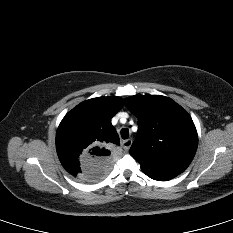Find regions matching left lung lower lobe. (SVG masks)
Here are the masks:
<instances>
[{
    "instance_id": "left-lung-lower-lobe-1",
    "label": "left lung lower lobe",
    "mask_w": 233,
    "mask_h": 233,
    "mask_svg": "<svg viewBox=\"0 0 233 233\" xmlns=\"http://www.w3.org/2000/svg\"><path fill=\"white\" fill-rule=\"evenodd\" d=\"M144 173L150 178L158 181H167L177 176L176 174H170V173H164V174L146 173V172Z\"/></svg>"
}]
</instances>
